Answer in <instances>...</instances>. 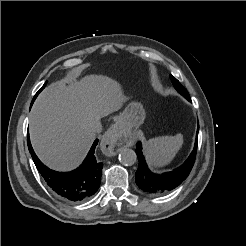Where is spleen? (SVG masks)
I'll return each instance as SVG.
<instances>
[{"label": "spleen", "mask_w": 246, "mask_h": 246, "mask_svg": "<svg viewBox=\"0 0 246 246\" xmlns=\"http://www.w3.org/2000/svg\"><path fill=\"white\" fill-rule=\"evenodd\" d=\"M183 145V135L159 136L144 143L148 162L157 168L168 165Z\"/></svg>", "instance_id": "3e777b00"}]
</instances>
